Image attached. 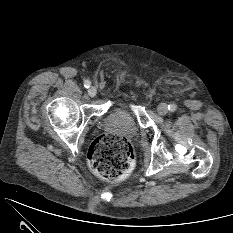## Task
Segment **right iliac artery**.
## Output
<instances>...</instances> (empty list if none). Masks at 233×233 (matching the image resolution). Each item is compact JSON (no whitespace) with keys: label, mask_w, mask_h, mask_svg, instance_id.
Listing matches in <instances>:
<instances>
[{"label":"right iliac artery","mask_w":233,"mask_h":233,"mask_svg":"<svg viewBox=\"0 0 233 233\" xmlns=\"http://www.w3.org/2000/svg\"><path fill=\"white\" fill-rule=\"evenodd\" d=\"M85 88H89L91 86V82L89 80L84 81Z\"/></svg>","instance_id":"1"}]
</instances>
